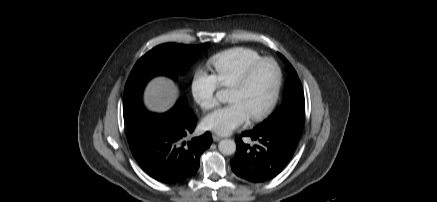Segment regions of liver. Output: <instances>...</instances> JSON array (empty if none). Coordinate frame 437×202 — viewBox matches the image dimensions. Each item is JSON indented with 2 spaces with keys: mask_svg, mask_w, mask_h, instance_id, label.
Instances as JSON below:
<instances>
[{
  "mask_svg": "<svg viewBox=\"0 0 437 202\" xmlns=\"http://www.w3.org/2000/svg\"><path fill=\"white\" fill-rule=\"evenodd\" d=\"M177 98V88L166 78L152 80L144 93V103L150 111L165 112Z\"/></svg>",
  "mask_w": 437,
  "mask_h": 202,
  "instance_id": "6515ba94",
  "label": "liver"
}]
</instances>
